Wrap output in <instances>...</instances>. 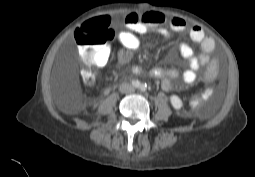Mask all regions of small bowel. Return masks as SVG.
<instances>
[{
  "label": "small bowel",
  "instance_id": "obj_1",
  "mask_svg": "<svg viewBox=\"0 0 255 177\" xmlns=\"http://www.w3.org/2000/svg\"><path fill=\"white\" fill-rule=\"evenodd\" d=\"M124 23L126 29L118 32V39L122 48L117 53V59L121 65L128 64L134 52L140 48L141 42L139 35L156 33L161 36H167L168 30L165 28L166 24L175 32H183L188 28L187 22L183 18L172 17L167 19L164 14L153 10H146L140 14L128 13L124 17ZM81 30L82 26L77 29L78 32H81ZM189 35L194 42L200 45L201 52L199 55H195L192 47L185 43H180L177 50H171L170 52L171 57L174 58L179 55L186 60L188 69L182 74L177 69L161 67L152 68L148 72L151 77L161 80V87L165 91H170L174 88L183 89L185 86L193 84L197 80L198 70L205 65H208L206 73L208 70H212L210 74L211 78L217 74L219 61L211 57V53L215 49L214 39L207 36L204 30L197 25L189 29ZM109 59L110 47H105L96 52V60L99 67L105 66ZM133 71L136 74L143 73L142 68L137 66L133 68ZM180 76L183 84L175 86L173 80Z\"/></svg>",
  "mask_w": 255,
  "mask_h": 177
}]
</instances>
